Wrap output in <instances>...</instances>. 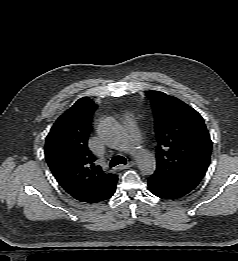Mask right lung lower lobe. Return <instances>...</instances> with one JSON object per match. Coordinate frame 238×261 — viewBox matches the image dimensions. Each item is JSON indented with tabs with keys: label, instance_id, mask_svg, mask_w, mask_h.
<instances>
[{
	"label": "right lung lower lobe",
	"instance_id": "98d812e1",
	"mask_svg": "<svg viewBox=\"0 0 238 261\" xmlns=\"http://www.w3.org/2000/svg\"><path fill=\"white\" fill-rule=\"evenodd\" d=\"M115 190H116V184L113 185V186L108 190V192H107L105 195H103L102 197L98 198V199L96 200V202L103 201V200H106V199L110 198V197L114 194ZM93 203H95V202H93Z\"/></svg>",
	"mask_w": 238,
	"mask_h": 261
}]
</instances>
